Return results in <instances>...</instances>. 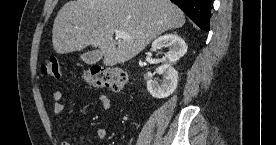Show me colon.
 Here are the masks:
<instances>
[{"mask_svg": "<svg viewBox=\"0 0 276 145\" xmlns=\"http://www.w3.org/2000/svg\"><path fill=\"white\" fill-rule=\"evenodd\" d=\"M41 73L44 77L59 80L62 77L58 59L49 57L41 66ZM83 79L94 87L122 90L127 84L126 73L114 67L93 65L83 72Z\"/></svg>", "mask_w": 276, "mask_h": 145, "instance_id": "obj_1", "label": "colon"}]
</instances>
